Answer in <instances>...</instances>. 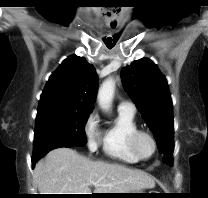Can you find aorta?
Listing matches in <instances>:
<instances>
[{
    "label": "aorta",
    "instance_id": "1",
    "mask_svg": "<svg viewBox=\"0 0 208 198\" xmlns=\"http://www.w3.org/2000/svg\"><path fill=\"white\" fill-rule=\"evenodd\" d=\"M115 91V81L113 78L106 79L98 90V104L104 110L111 108Z\"/></svg>",
    "mask_w": 208,
    "mask_h": 198
}]
</instances>
